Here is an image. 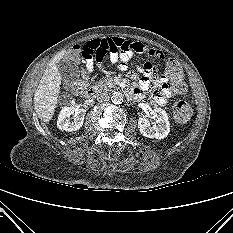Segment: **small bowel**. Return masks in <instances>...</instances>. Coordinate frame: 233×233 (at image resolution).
I'll return each mask as SVG.
<instances>
[{
  "label": "small bowel",
  "instance_id": "1",
  "mask_svg": "<svg viewBox=\"0 0 233 233\" xmlns=\"http://www.w3.org/2000/svg\"><path fill=\"white\" fill-rule=\"evenodd\" d=\"M79 52L85 61L86 70L90 74L93 73L95 68L94 60L100 62L106 55H109L111 62L117 64L119 69L125 70L134 53H146L153 57L157 63L155 65L150 62L144 64L141 69L142 77L139 80V87L133 90L136 98L142 97L143 92L151 84L154 87L151 99L159 106L165 105L168 99L176 93L168 86L169 81L166 76L158 77L154 74L155 71H161L164 67L165 57L160 50L146 47L140 42L114 37L90 40L79 47ZM129 77L136 80L138 75L130 72Z\"/></svg>",
  "mask_w": 233,
  "mask_h": 233
}]
</instances>
